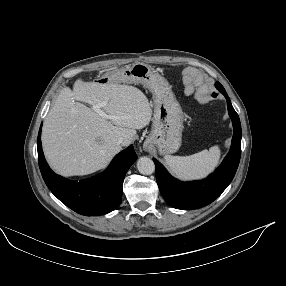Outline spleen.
<instances>
[{"label":"spleen","instance_id":"spleen-1","mask_svg":"<svg viewBox=\"0 0 286 286\" xmlns=\"http://www.w3.org/2000/svg\"><path fill=\"white\" fill-rule=\"evenodd\" d=\"M220 148L213 146L190 156H165V163L171 173L185 180L199 179L207 176L218 165Z\"/></svg>","mask_w":286,"mask_h":286}]
</instances>
